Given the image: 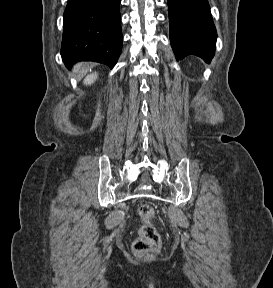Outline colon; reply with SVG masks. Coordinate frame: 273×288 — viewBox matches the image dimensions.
Returning <instances> with one entry per match:
<instances>
[{"label":"colon","instance_id":"colon-1","mask_svg":"<svg viewBox=\"0 0 273 288\" xmlns=\"http://www.w3.org/2000/svg\"><path fill=\"white\" fill-rule=\"evenodd\" d=\"M140 228L138 237L132 245L133 252L137 255L145 252L158 251L161 247V238L156 229V213L148 204H142L138 208Z\"/></svg>","mask_w":273,"mask_h":288}]
</instances>
